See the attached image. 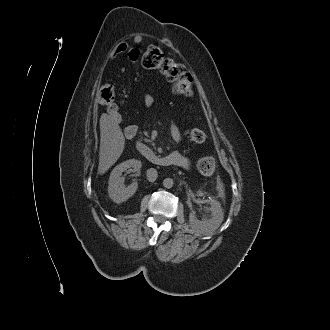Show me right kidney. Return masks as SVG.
<instances>
[{"mask_svg": "<svg viewBox=\"0 0 330 330\" xmlns=\"http://www.w3.org/2000/svg\"><path fill=\"white\" fill-rule=\"evenodd\" d=\"M141 166V161L130 159L120 163L112 170L108 181V194L115 203L119 204L126 201L135 194L138 188V183L135 181L126 187L124 185L125 178L121 176L122 173L129 168L140 171Z\"/></svg>", "mask_w": 330, "mask_h": 330, "instance_id": "obj_1", "label": "right kidney"}]
</instances>
